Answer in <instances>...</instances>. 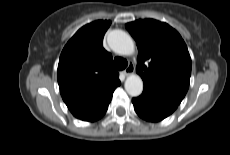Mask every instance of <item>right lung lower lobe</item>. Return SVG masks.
I'll return each mask as SVG.
<instances>
[{
  "label": "right lung lower lobe",
  "instance_id": "obj_1",
  "mask_svg": "<svg viewBox=\"0 0 230 155\" xmlns=\"http://www.w3.org/2000/svg\"><path fill=\"white\" fill-rule=\"evenodd\" d=\"M109 105V104H108ZM108 105L105 106L102 110H100L99 112L95 113V114H92L90 116H87L81 120H84V121H90V122H93V121H96L98 119H100L107 111L108 109Z\"/></svg>",
  "mask_w": 230,
  "mask_h": 155
}]
</instances>
